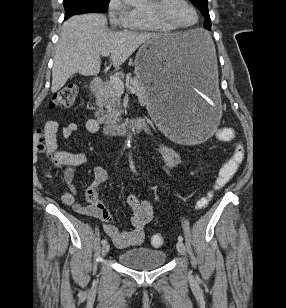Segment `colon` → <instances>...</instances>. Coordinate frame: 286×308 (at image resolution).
<instances>
[{"label": "colon", "mask_w": 286, "mask_h": 308, "mask_svg": "<svg viewBox=\"0 0 286 308\" xmlns=\"http://www.w3.org/2000/svg\"><path fill=\"white\" fill-rule=\"evenodd\" d=\"M78 88L76 85H69L59 90L50 101L52 108H71L77 97ZM217 137L223 142H231L235 138V130L232 127H223L218 130ZM37 148L40 152L49 154L51 147L44 142L43 138L38 140ZM244 151L243 148L238 145L234 149L230 157L222 164L219 169L218 175L215 179L214 189L219 190L226 186L238 172L240 165L243 161ZM211 197V194L200 199L197 203L198 208L204 207ZM151 244L153 247H161L164 244V238L160 234L153 235L151 237Z\"/></svg>", "instance_id": "1"}]
</instances>
